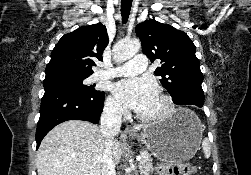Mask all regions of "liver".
<instances>
[{"instance_id": "1", "label": "liver", "mask_w": 251, "mask_h": 175, "mask_svg": "<svg viewBox=\"0 0 251 175\" xmlns=\"http://www.w3.org/2000/svg\"><path fill=\"white\" fill-rule=\"evenodd\" d=\"M141 127L134 125L130 131H139ZM105 139L99 127L89 121L71 119L59 123L40 143L36 155L38 175H101ZM113 139L110 155L117 165L122 149L114 135Z\"/></svg>"}]
</instances>
